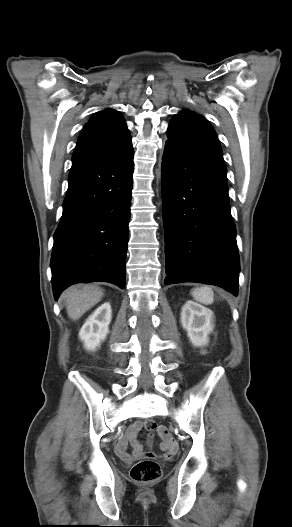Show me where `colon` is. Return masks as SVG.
<instances>
[{
    "label": "colon",
    "instance_id": "obj_1",
    "mask_svg": "<svg viewBox=\"0 0 292 527\" xmlns=\"http://www.w3.org/2000/svg\"><path fill=\"white\" fill-rule=\"evenodd\" d=\"M153 424V421L148 420L143 423V427L145 430H153ZM130 475L136 482L151 483L157 481L161 477V468L158 463L145 457L143 460L134 464Z\"/></svg>",
    "mask_w": 292,
    "mask_h": 527
}]
</instances>
